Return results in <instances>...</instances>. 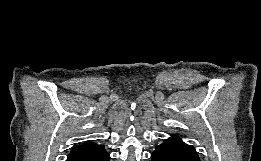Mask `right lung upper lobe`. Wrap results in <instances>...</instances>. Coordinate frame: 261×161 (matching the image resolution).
Instances as JSON below:
<instances>
[{
  "instance_id": "cb5924a9",
  "label": "right lung upper lobe",
  "mask_w": 261,
  "mask_h": 161,
  "mask_svg": "<svg viewBox=\"0 0 261 161\" xmlns=\"http://www.w3.org/2000/svg\"><path fill=\"white\" fill-rule=\"evenodd\" d=\"M91 145H94V143L88 142V143L81 144V145H75L73 149H81V148H85V147H88V146H91Z\"/></svg>"
}]
</instances>
